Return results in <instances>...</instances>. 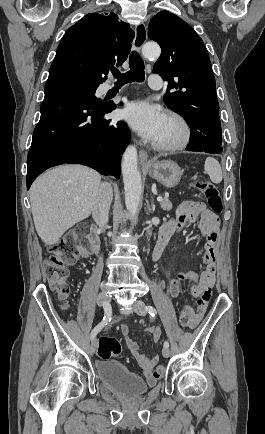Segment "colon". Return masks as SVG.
<instances>
[{"label":"colon","mask_w":265,"mask_h":434,"mask_svg":"<svg viewBox=\"0 0 265 434\" xmlns=\"http://www.w3.org/2000/svg\"><path fill=\"white\" fill-rule=\"evenodd\" d=\"M192 185L205 197L210 209L214 212L223 211L221 195L216 186L199 178L192 179ZM77 241L71 232L65 239L54 244L48 259L43 265V276L49 280L53 291L62 299L69 295V266L73 265L78 257ZM180 325L187 329L194 325L195 319H190L185 309L179 317ZM122 352L121 343L114 336H101L98 340L97 354L102 361H108L112 356H118ZM163 372V366H159L155 375L159 378Z\"/></svg>","instance_id":"1"}]
</instances>
